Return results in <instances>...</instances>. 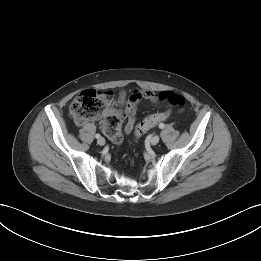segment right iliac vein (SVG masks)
<instances>
[{"mask_svg":"<svg viewBox=\"0 0 261 261\" xmlns=\"http://www.w3.org/2000/svg\"><path fill=\"white\" fill-rule=\"evenodd\" d=\"M97 143L100 145V146H103L105 144V139L103 137H100L98 140H97Z\"/></svg>","mask_w":261,"mask_h":261,"instance_id":"63e3f726","label":"right iliac vein"}]
</instances>
